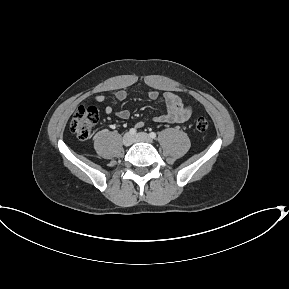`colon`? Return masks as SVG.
I'll return each mask as SVG.
<instances>
[{
	"instance_id": "obj_1",
	"label": "colon",
	"mask_w": 289,
	"mask_h": 289,
	"mask_svg": "<svg viewBox=\"0 0 289 289\" xmlns=\"http://www.w3.org/2000/svg\"><path fill=\"white\" fill-rule=\"evenodd\" d=\"M98 121V110L94 106H80L70 122V130L80 139L86 140L90 137L93 127ZM196 130L204 133L208 130V121L200 117L195 123Z\"/></svg>"
}]
</instances>
